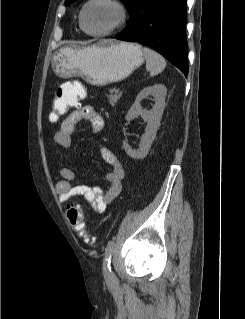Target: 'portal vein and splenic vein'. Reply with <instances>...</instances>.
I'll return each mask as SVG.
<instances>
[{
  "label": "portal vein and splenic vein",
  "instance_id": "obj_1",
  "mask_svg": "<svg viewBox=\"0 0 245 319\" xmlns=\"http://www.w3.org/2000/svg\"><path fill=\"white\" fill-rule=\"evenodd\" d=\"M118 91H119V89H116V90H115V92H118Z\"/></svg>",
  "mask_w": 245,
  "mask_h": 319
}]
</instances>
